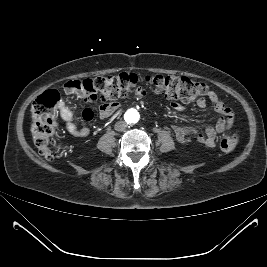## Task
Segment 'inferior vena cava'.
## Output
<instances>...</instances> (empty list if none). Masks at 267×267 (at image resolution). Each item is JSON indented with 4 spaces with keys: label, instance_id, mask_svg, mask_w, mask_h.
<instances>
[{
    "label": "inferior vena cava",
    "instance_id": "1",
    "mask_svg": "<svg viewBox=\"0 0 267 267\" xmlns=\"http://www.w3.org/2000/svg\"><path fill=\"white\" fill-rule=\"evenodd\" d=\"M127 123L125 121L116 122L114 128L116 131H124L127 128Z\"/></svg>",
    "mask_w": 267,
    "mask_h": 267
}]
</instances>
